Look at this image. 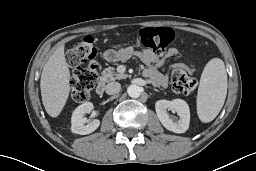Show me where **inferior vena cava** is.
I'll list each match as a JSON object with an SVG mask.
<instances>
[{
	"label": "inferior vena cava",
	"instance_id": "obj_1",
	"mask_svg": "<svg viewBox=\"0 0 256 171\" xmlns=\"http://www.w3.org/2000/svg\"><path fill=\"white\" fill-rule=\"evenodd\" d=\"M121 85L118 82H110L106 85V93L108 95L116 94L120 91Z\"/></svg>",
	"mask_w": 256,
	"mask_h": 171
}]
</instances>
